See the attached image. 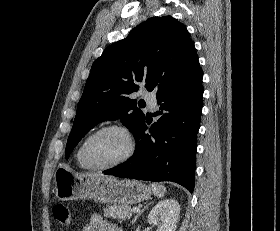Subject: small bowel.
<instances>
[{
    "label": "small bowel",
    "instance_id": "1",
    "mask_svg": "<svg viewBox=\"0 0 280 231\" xmlns=\"http://www.w3.org/2000/svg\"><path fill=\"white\" fill-rule=\"evenodd\" d=\"M83 231H120V229L105 221L99 214H94L89 223L83 227Z\"/></svg>",
    "mask_w": 280,
    "mask_h": 231
}]
</instances>
